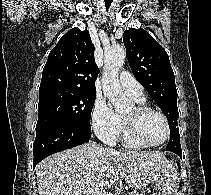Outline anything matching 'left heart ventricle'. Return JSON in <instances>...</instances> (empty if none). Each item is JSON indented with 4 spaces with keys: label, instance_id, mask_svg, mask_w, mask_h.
Returning a JSON list of instances; mask_svg holds the SVG:
<instances>
[{
    "label": "left heart ventricle",
    "instance_id": "obj_1",
    "mask_svg": "<svg viewBox=\"0 0 211 195\" xmlns=\"http://www.w3.org/2000/svg\"><path fill=\"white\" fill-rule=\"evenodd\" d=\"M124 117L137 121L139 135L146 142L158 143L166 136L165 123L156 113H148L138 117L135 108H132L124 114Z\"/></svg>",
    "mask_w": 211,
    "mask_h": 195
}]
</instances>
